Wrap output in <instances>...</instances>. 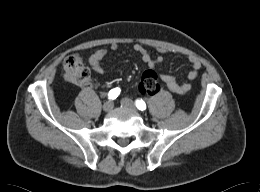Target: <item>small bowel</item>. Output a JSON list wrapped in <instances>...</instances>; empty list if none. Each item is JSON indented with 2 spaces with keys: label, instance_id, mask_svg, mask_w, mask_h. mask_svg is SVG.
Masks as SVG:
<instances>
[{
  "label": "small bowel",
  "instance_id": "obj_1",
  "mask_svg": "<svg viewBox=\"0 0 260 192\" xmlns=\"http://www.w3.org/2000/svg\"><path fill=\"white\" fill-rule=\"evenodd\" d=\"M118 46L113 44L111 46L112 51H116ZM133 50L140 56L141 60L150 67H154L161 62L159 57H153L147 51L145 46L141 43H137L133 46ZM107 51L104 49L94 52L89 58V64L91 68L98 74L103 73V67L101 61L106 56ZM192 63V69L188 73L189 79H195L200 71L201 63L196 58L190 59ZM160 79L164 82L167 88L174 94L185 95L191 91L193 84L190 82L179 84L176 79L169 73H161L159 75ZM156 75L149 71L143 77V80L139 84V89L142 93L150 92L155 87Z\"/></svg>",
  "mask_w": 260,
  "mask_h": 192
}]
</instances>
